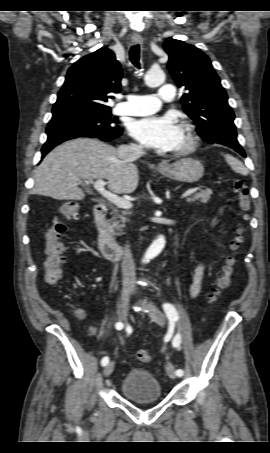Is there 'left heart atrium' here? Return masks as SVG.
Returning <instances> with one entry per match:
<instances>
[{
    "label": "left heart atrium",
    "instance_id": "39dd6f15",
    "mask_svg": "<svg viewBox=\"0 0 270 453\" xmlns=\"http://www.w3.org/2000/svg\"><path fill=\"white\" fill-rule=\"evenodd\" d=\"M129 132L144 146L171 151L177 148L183 130L172 115L149 116L131 122Z\"/></svg>",
    "mask_w": 270,
    "mask_h": 453
}]
</instances>
